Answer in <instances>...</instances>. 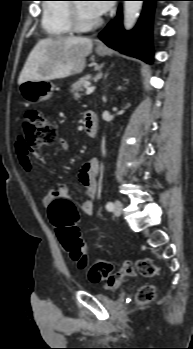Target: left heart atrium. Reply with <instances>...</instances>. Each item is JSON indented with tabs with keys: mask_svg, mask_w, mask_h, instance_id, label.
<instances>
[{
	"mask_svg": "<svg viewBox=\"0 0 193 349\" xmlns=\"http://www.w3.org/2000/svg\"><path fill=\"white\" fill-rule=\"evenodd\" d=\"M88 7L93 14L100 16L108 12L112 4L110 1H91L88 3Z\"/></svg>",
	"mask_w": 193,
	"mask_h": 349,
	"instance_id": "obj_1",
	"label": "left heart atrium"
}]
</instances>
